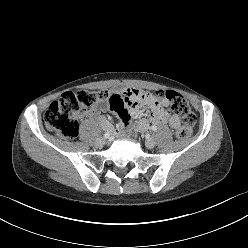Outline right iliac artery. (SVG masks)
I'll use <instances>...</instances> for the list:
<instances>
[{
  "label": "right iliac artery",
  "instance_id": "right-iliac-artery-1",
  "mask_svg": "<svg viewBox=\"0 0 248 248\" xmlns=\"http://www.w3.org/2000/svg\"><path fill=\"white\" fill-rule=\"evenodd\" d=\"M108 137H109V133H105L104 138H108Z\"/></svg>",
  "mask_w": 248,
  "mask_h": 248
}]
</instances>
